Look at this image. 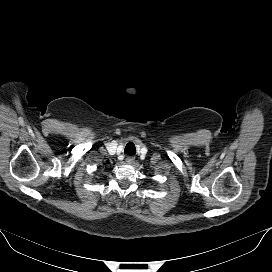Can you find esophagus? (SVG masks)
Masks as SVG:
<instances>
[{"label":"esophagus","instance_id":"esophagus-1","mask_svg":"<svg viewBox=\"0 0 272 272\" xmlns=\"http://www.w3.org/2000/svg\"><path fill=\"white\" fill-rule=\"evenodd\" d=\"M134 159V156H127L125 161L127 164H132L134 162Z\"/></svg>","mask_w":272,"mask_h":272}]
</instances>
